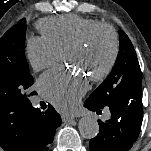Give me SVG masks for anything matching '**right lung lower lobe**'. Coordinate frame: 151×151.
Segmentation results:
<instances>
[{"label":"right lung lower lobe","mask_w":151,"mask_h":151,"mask_svg":"<svg viewBox=\"0 0 151 151\" xmlns=\"http://www.w3.org/2000/svg\"><path fill=\"white\" fill-rule=\"evenodd\" d=\"M35 124L36 133L31 151H47L53 141L56 128L61 124V117L51 105L45 113L36 108Z\"/></svg>","instance_id":"1"}]
</instances>
